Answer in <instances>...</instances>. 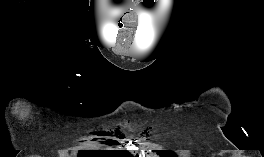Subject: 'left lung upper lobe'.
Returning <instances> with one entry per match:
<instances>
[{
	"mask_svg": "<svg viewBox=\"0 0 264 157\" xmlns=\"http://www.w3.org/2000/svg\"><path fill=\"white\" fill-rule=\"evenodd\" d=\"M161 157H177L174 152L171 151H160Z\"/></svg>",
	"mask_w": 264,
	"mask_h": 157,
	"instance_id": "5c2ea615",
	"label": "left lung upper lobe"
}]
</instances>
